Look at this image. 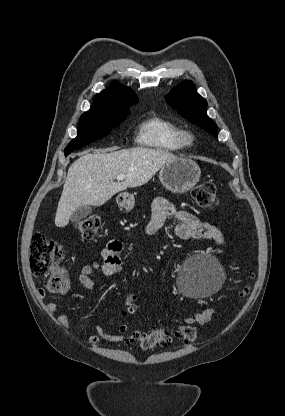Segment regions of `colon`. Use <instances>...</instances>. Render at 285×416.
Returning <instances> with one entry per match:
<instances>
[{
	"mask_svg": "<svg viewBox=\"0 0 285 416\" xmlns=\"http://www.w3.org/2000/svg\"><path fill=\"white\" fill-rule=\"evenodd\" d=\"M195 204L202 209H212L217 205L216 188L211 182L197 185L192 191ZM101 227V219L97 216H88L75 222L74 228L82 239L92 241ZM64 257L62 246L48 239L41 233L33 235L30 245V267L35 276L49 274L47 288L51 292H59L67 281V270L61 264ZM244 294L248 289H244ZM136 297L129 296L126 311L130 312L135 304ZM198 338L194 327L177 325L172 329L155 328L147 331L131 332L126 337L128 344H136L143 350H153L158 347H166L174 339L185 344L192 343Z\"/></svg>",
	"mask_w": 285,
	"mask_h": 416,
	"instance_id": "5ec220e1",
	"label": "colon"
}]
</instances>
